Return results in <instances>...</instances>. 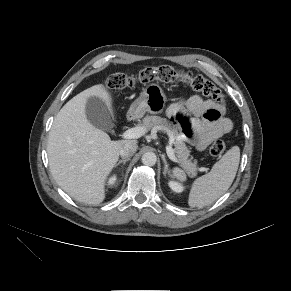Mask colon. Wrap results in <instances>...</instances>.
<instances>
[{
    "instance_id": "1",
    "label": "colon",
    "mask_w": 291,
    "mask_h": 291,
    "mask_svg": "<svg viewBox=\"0 0 291 291\" xmlns=\"http://www.w3.org/2000/svg\"><path fill=\"white\" fill-rule=\"evenodd\" d=\"M152 82H183L217 104H225L224 94L214 83L200 75L171 66L144 67L137 74L114 73L105 80L103 86L107 89H125ZM225 148V143L217 140L210 146L209 152L217 157L224 153Z\"/></svg>"
}]
</instances>
